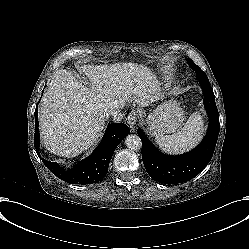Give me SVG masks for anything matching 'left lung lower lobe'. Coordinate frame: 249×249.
Wrapping results in <instances>:
<instances>
[{
  "instance_id": "left-lung-lower-lobe-1",
  "label": "left lung lower lobe",
  "mask_w": 249,
  "mask_h": 249,
  "mask_svg": "<svg viewBox=\"0 0 249 249\" xmlns=\"http://www.w3.org/2000/svg\"><path fill=\"white\" fill-rule=\"evenodd\" d=\"M204 94V106L209 115L208 132L202 142L192 151L177 155H165L158 151L139 128L142 141V159L147 173L154 181L175 184L197 176L210 162L219 134V113L215 96L208 79H200Z\"/></svg>"
}]
</instances>
